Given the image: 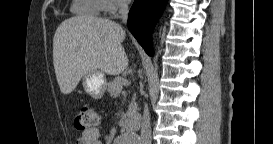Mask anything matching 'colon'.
<instances>
[{
    "mask_svg": "<svg viewBox=\"0 0 273 144\" xmlns=\"http://www.w3.org/2000/svg\"><path fill=\"white\" fill-rule=\"evenodd\" d=\"M100 122L99 114L91 104H83L75 119L78 130L85 131L95 128Z\"/></svg>",
    "mask_w": 273,
    "mask_h": 144,
    "instance_id": "1",
    "label": "colon"
}]
</instances>
